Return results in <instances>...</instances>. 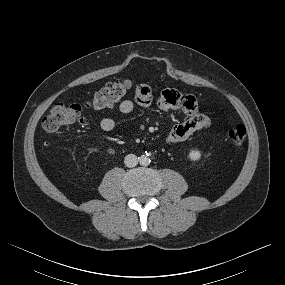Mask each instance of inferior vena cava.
Returning <instances> with one entry per match:
<instances>
[{
    "mask_svg": "<svg viewBox=\"0 0 285 285\" xmlns=\"http://www.w3.org/2000/svg\"><path fill=\"white\" fill-rule=\"evenodd\" d=\"M124 163L129 168L135 167L138 164V158L134 154H128L124 159Z\"/></svg>",
    "mask_w": 285,
    "mask_h": 285,
    "instance_id": "1",
    "label": "inferior vena cava"
}]
</instances>
